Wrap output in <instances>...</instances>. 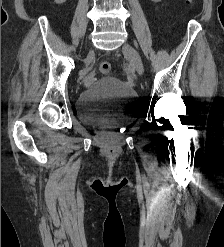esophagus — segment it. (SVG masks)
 I'll return each mask as SVG.
<instances>
[{
	"instance_id": "esophagus-1",
	"label": "esophagus",
	"mask_w": 224,
	"mask_h": 247,
	"mask_svg": "<svg viewBox=\"0 0 224 247\" xmlns=\"http://www.w3.org/2000/svg\"><path fill=\"white\" fill-rule=\"evenodd\" d=\"M103 65H104V63L101 65V69H102V70H104Z\"/></svg>"
}]
</instances>
